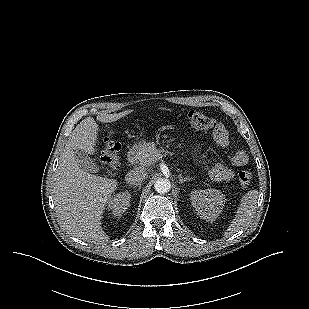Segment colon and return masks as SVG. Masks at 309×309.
<instances>
[{
  "label": "colon",
  "mask_w": 309,
  "mask_h": 309,
  "mask_svg": "<svg viewBox=\"0 0 309 309\" xmlns=\"http://www.w3.org/2000/svg\"><path fill=\"white\" fill-rule=\"evenodd\" d=\"M186 120L189 126L198 130H215L218 124L215 120L207 117L206 115L198 111H188L186 113ZM118 145L110 138H106L104 141V149L102 152L100 165L104 169H117L120 165L118 157ZM253 177L252 168H248L239 173L238 179L242 185H247L251 182Z\"/></svg>",
  "instance_id": "1"
}]
</instances>
